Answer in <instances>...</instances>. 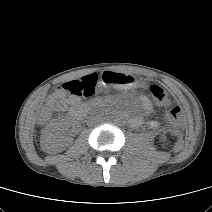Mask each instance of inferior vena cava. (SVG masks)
Segmentation results:
<instances>
[{"label": "inferior vena cava", "instance_id": "602c4592", "mask_svg": "<svg viewBox=\"0 0 212 212\" xmlns=\"http://www.w3.org/2000/svg\"><path fill=\"white\" fill-rule=\"evenodd\" d=\"M99 121V118L98 117H95V116H91L88 118V124H94L95 122Z\"/></svg>", "mask_w": 212, "mask_h": 212}]
</instances>
